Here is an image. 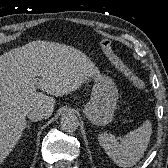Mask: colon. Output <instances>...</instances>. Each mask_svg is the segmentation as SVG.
I'll list each match as a JSON object with an SVG mask.
<instances>
[{"instance_id": "5ec220e1", "label": "colon", "mask_w": 168, "mask_h": 168, "mask_svg": "<svg viewBox=\"0 0 168 168\" xmlns=\"http://www.w3.org/2000/svg\"><path fill=\"white\" fill-rule=\"evenodd\" d=\"M100 46L110 62L130 80L135 88L139 90H143L145 88L144 81L134 74L116 54L113 48V43L109 38L102 39L100 41Z\"/></svg>"}]
</instances>
